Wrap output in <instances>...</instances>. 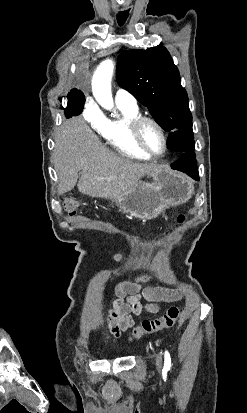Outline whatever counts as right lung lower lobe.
<instances>
[{
    "label": "right lung lower lobe",
    "mask_w": 247,
    "mask_h": 413,
    "mask_svg": "<svg viewBox=\"0 0 247 413\" xmlns=\"http://www.w3.org/2000/svg\"><path fill=\"white\" fill-rule=\"evenodd\" d=\"M64 110H65V116H66V118H70V117H72V116H75L73 113L69 112L67 109H64Z\"/></svg>",
    "instance_id": "obj_1"
}]
</instances>
